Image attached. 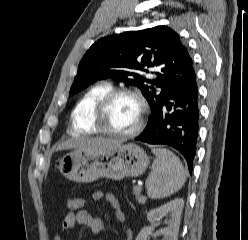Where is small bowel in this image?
Returning <instances> with one entry per match:
<instances>
[{
  "label": "small bowel",
  "mask_w": 248,
  "mask_h": 240,
  "mask_svg": "<svg viewBox=\"0 0 248 240\" xmlns=\"http://www.w3.org/2000/svg\"><path fill=\"white\" fill-rule=\"evenodd\" d=\"M92 199L94 201L106 200V202L115 210L117 220L120 223H125V214L120 209L119 202L113 193L95 191L92 195ZM77 223L86 226L93 234L102 232L104 228L102 221L97 216L83 209L75 213H68L63 220L62 227L64 230H70ZM124 234L125 240H132V232L127 226L124 227ZM54 240H62V237L57 235L54 237Z\"/></svg>",
  "instance_id": "obj_1"
}]
</instances>
